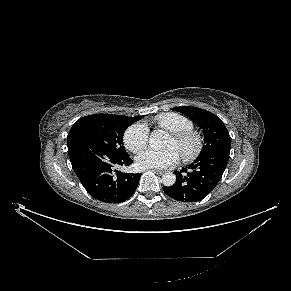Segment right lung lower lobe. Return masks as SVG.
<instances>
[{"label":"right lung lower lobe","mask_w":291,"mask_h":291,"mask_svg":"<svg viewBox=\"0 0 291 291\" xmlns=\"http://www.w3.org/2000/svg\"><path fill=\"white\" fill-rule=\"evenodd\" d=\"M67 146L72 167L92 197L106 203H120L134 194L141 174L116 170L133 162L128 154L117 155L86 140Z\"/></svg>","instance_id":"right-lung-lower-lobe-1"}]
</instances>
